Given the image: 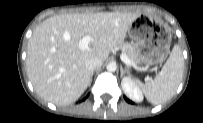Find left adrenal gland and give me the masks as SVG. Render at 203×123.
Here are the masks:
<instances>
[{
	"label": "left adrenal gland",
	"instance_id": "a2214340",
	"mask_svg": "<svg viewBox=\"0 0 203 123\" xmlns=\"http://www.w3.org/2000/svg\"><path fill=\"white\" fill-rule=\"evenodd\" d=\"M120 71H121L120 76L123 77V75H124V73H125V70L123 69L122 65L120 66Z\"/></svg>",
	"mask_w": 203,
	"mask_h": 123
}]
</instances>
